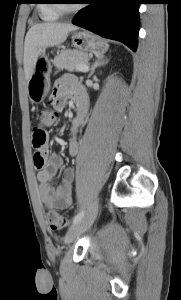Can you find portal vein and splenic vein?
Listing matches in <instances>:
<instances>
[{
  "instance_id": "18ae733b",
  "label": "portal vein and splenic vein",
  "mask_w": 181,
  "mask_h": 300,
  "mask_svg": "<svg viewBox=\"0 0 181 300\" xmlns=\"http://www.w3.org/2000/svg\"><path fill=\"white\" fill-rule=\"evenodd\" d=\"M77 69L81 72H86V71H88V66L87 65H79L77 67Z\"/></svg>"
}]
</instances>
